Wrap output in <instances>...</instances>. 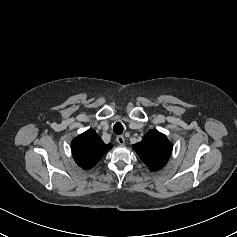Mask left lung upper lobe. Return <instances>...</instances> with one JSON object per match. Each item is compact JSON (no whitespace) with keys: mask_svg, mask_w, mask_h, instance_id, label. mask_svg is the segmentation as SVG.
<instances>
[{"mask_svg":"<svg viewBox=\"0 0 237 237\" xmlns=\"http://www.w3.org/2000/svg\"><path fill=\"white\" fill-rule=\"evenodd\" d=\"M133 148L151 171L161 169L172 152L171 142L157 130H150Z\"/></svg>","mask_w":237,"mask_h":237,"instance_id":"obj_1","label":"left lung upper lobe"}]
</instances>
